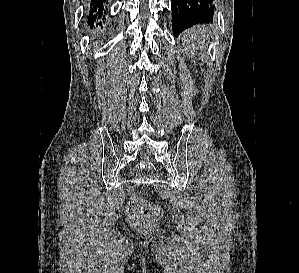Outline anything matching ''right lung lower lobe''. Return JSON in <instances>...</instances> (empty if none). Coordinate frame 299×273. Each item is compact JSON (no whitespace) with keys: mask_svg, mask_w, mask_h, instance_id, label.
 <instances>
[{"mask_svg":"<svg viewBox=\"0 0 299 273\" xmlns=\"http://www.w3.org/2000/svg\"><path fill=\"white\" fill-rule=\"evenodd\" d=\"M106 4H108V1L106 0H90V10L87 19L88 25H90L91 28H93L96 20L105 19ZM98 25L102 28L101 21L96 24V26Z\"/></svg>","mask_w":299,"mask_h":273,"instance_id":"right-lung-lower-lobe-1","label":"right lung lower lobe"}]
</instances>
